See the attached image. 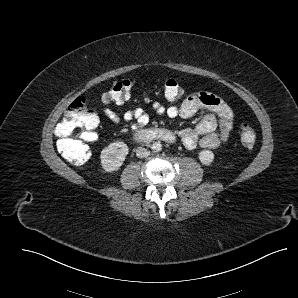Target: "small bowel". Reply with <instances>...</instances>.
I'll list each match as a JSON object with an SVG mask.
<instances>
[{"label":"small bowel","instance_id":"c3829d8e","mask_svg":"<svg viewBox=\"0 0 298 298\" xmlns=\"http://www.w3.org/2000/svg\"><path fill=\"white\" fill-rule=\"evenodd\" d=\"M153 112L169 118L181 117L188 119L198 112H207L202 120L193 128L177 131V136L187 149L200 146L205 149H215L228 142L234 125L231 108L218 96L207 92H196L188 95L179 105L165 106L159 101L151 103ZM104 114L114 123L126 122L132 132H137L151 118L141 107L118 114L110 108L104 109Z\"/></svg>","mask_w":298,"mask_h":298}]
</instances>
